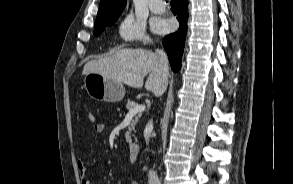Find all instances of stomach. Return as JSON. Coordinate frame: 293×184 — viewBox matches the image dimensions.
Wrapping results in <instances>:
<instances>
[{"instance_id":"stomach-1","label":"stomach","mask_w":293,"mask_h":184,"mask_svg":"<svg viewBox=\"0 0 293 184\" xmlns=\"http://www.w3.org/2000/svg\"><path fill=\"white\" fill-rule=\"evenodd\" d=\"M84 87L91 98L108 103L119 102L125 95L122 82L98 73L86 74Z\"/></svg>"}]
</instances>
